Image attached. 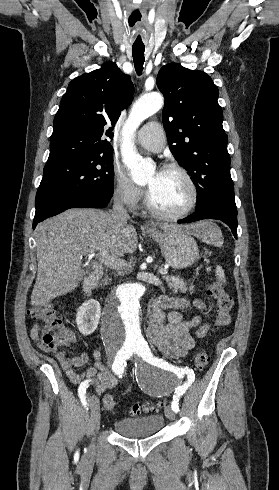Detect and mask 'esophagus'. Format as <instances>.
<instances>
[{
  "label": "esophagus",
  "mask_w": 279,
  "mask_h": 490,
  "mask_svg": "<svg viewBox=\"0 0 279 490\" xmlns=\"http://www.w3.org/2000/svg\"><path fill=\"white\" fill-rule=\"evenodd\" d=\"M156 225L154 223H144L143 228L146 229H155Z\"/></svg>",
  "instance_id": "1"
}]
</instances>
